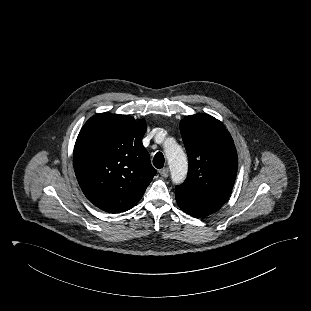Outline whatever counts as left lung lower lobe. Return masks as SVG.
Returning <instances> with one entry per match:
<instances>
[{"label":"left lung lower lobe","instance_id":"0a47b994","mask_svg":"<svg viewBox=\"0 0 311 311\" xmlns=\"http://www.w3.org/2000/svg\"><path fill=\"white\" fill-rule=\"evenodd\" d=\"M175 196L179 207L193 217L210 215L223 206V204L219 202L192 195L178 187L175 189Z\"/></svg>","mask_w":311,"mask_h":311}]
</instances>
